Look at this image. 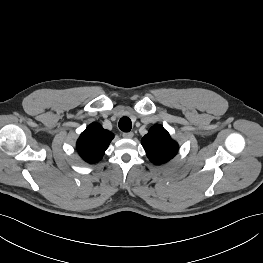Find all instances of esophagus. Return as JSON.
<instances>
[{
    "label": "esophagus",
    "instance_id": "esophagus-1",
    "mask_svg": "<svg viewBox=\"0 0 263 263\" xmlns=\"http://www.w3.org/2000/svg\"><path fill=\"white\" fill-rule=\"evenodd\" d=\"M122 136L126 139H131L134 136L133 132H125L122 134Z\"/></svg>",
    "mask_w": 263,
    "mask_h": 263
}]
</instances>
